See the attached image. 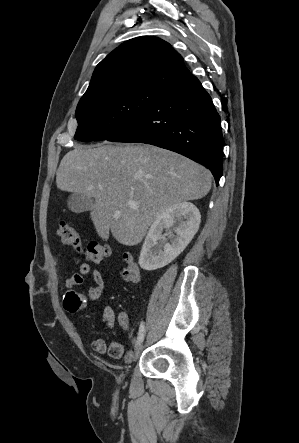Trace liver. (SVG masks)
<instances>
[{
    "label": "liver",
    "mask_w": 299,
    "mask_h": 443,
    "mask_svg": "<svg viewBox=\"0 0 299 443\" xmlns=\"http://www.w3.org/2000/svg\"><path fill=\"white\" fill-rule=\"evenodd\" d=\"M211 178L200 164L154 146L78 145L62 158L56 185L95 199L90 216L103 240L111 231L119 243L133 246L164 210L206 196Z\"/></svg>",
    "instance_id": "liver-1"
}]
</instances>
